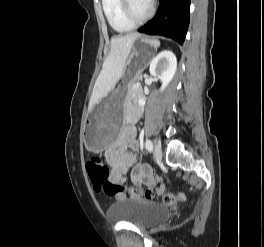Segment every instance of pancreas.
Masks as SVG:
<instances>
[{
  "label": "pancreas",
  "instance_id": "obj_1",
  "mask_svg": "<svg viewBox=\"0 0 264 247\" xmlns=\"http://www.w3.org/2000/svg\"><path fill=\"white\" fill-rule=\"evenodd\" d=\"M140 92L141 88L138 85V82L136 80L131 82L128 88V97L133 100L134 104H136Z\"/></svg>",
  "mask_w": 264,
  "mask_h": 247
}]
</instances>
